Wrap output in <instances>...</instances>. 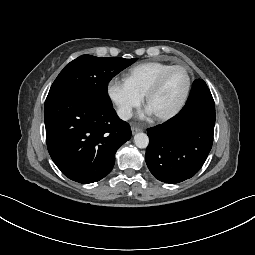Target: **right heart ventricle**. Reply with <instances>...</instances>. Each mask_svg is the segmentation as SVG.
<instances>
[{
    "instance_id": "1",
    "label": "right heart ventricle",
    "mask_w": 255,
    "mask_h": 255,
    "mask_svg": "<svg viewBox=\"0 0 255 255\" xmlns=\"http://www.w3.org/2000/svg\"><path fill=\"white\" fill-rule=\"evenodd\" d=\"M172 66V64L163 62L142 63L128 72L126 81L138 94L145 96L157 78Z\"/></svg>"
}]
</instances>
